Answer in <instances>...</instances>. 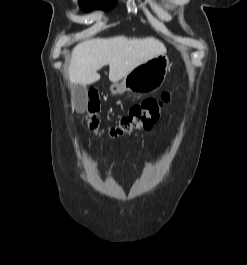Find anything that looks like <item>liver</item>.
<instances>
[{"label": "liver", "instance_id": "1", "mask_svg": "<svg viewBox=\"0 0 247 265\" xmlns=\"http://www.w3.org/2000/svg\"><path fill=\"white\" fill-rule=\"evenodd\" d=\"M162 42L153 38H95L79 43L69 65L71 85H89L100 80L98 70L109 65V80L117 83L137 66L166 53Z\"/></svg>", "mask_w": 247, "mask_h": 265}]
</instances>
